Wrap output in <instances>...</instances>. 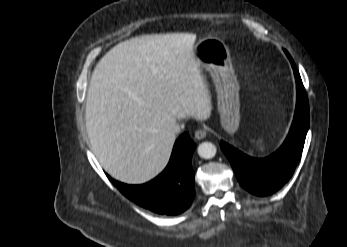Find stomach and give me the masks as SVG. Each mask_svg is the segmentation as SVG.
<instances>
[{
	"label": "stomach",
	"instance_id": "0dacf381",
	"mask_svg": "<svg viewBox=\"0 0 347 247\" xmlns=\"http://www.w3.org/2000/svg\"><path fill=\"white\" fill-rule=\"evenodd\" d=\"M193 57L211 74L221 127L228 134H235L240 125V87L228 47L218 38H204L193 46Z\"/></svg>",
	"mask_w": 347,
	"mask_h": 247
}]
</instances>
